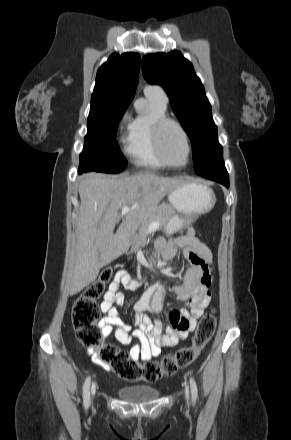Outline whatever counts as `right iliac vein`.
Masks as SVG:
<instances>
[{"label": "right iliac vein", "instance_id": "1", "mask_svg": "<svg viewBox=\"0 0 291 440\" xmlns=\"http://www.w3.org/2000/svg\"><path fill=\"white\" fill-rule=\"evenodd\" d=\"M95 391V385H93V387H92V392H94Z\"/></svg>", "mask_w": 291, "mask_h": 440}]
</instances>
